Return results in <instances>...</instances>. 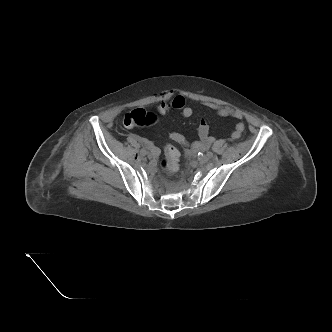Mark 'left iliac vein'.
<instances>
[{
	"label": "left iliac vein",
	"mask_w": 332,
	"mask_h": 332,
	"mask_svg": "<svg viewBox=\"0 0 332 332\" xmlns=\"http://www.w3.org/2000/svg\"><path fill=\"white\" fill-rule=\"evenodd\" d=\"M208 160H209V158H208L206 155H201V156L199 157V162L202 163V164L207 163Z\"/></svg>",
	"instance_id": "4c4485c4"
}]
</instances>
